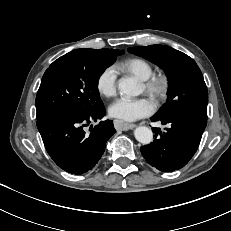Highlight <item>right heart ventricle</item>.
Listing matches in <instances>:
<instances>
[{"label":"right heart ventricle","instance_id":"e07e8e85","mask_svg":"<svg viewBox=\"0 0 231 231\" xmlns=\"http://www.w3.org/2000/svg\"><path fill=\"white\" fill-rule=\"evenodd\" d=\"M119 70L127 72L139 80H147L153 73L152 64L139 57H133L120 62L117 65Z\"/></svg>","mask_w":231,"mask_h":231}]
</instances>
